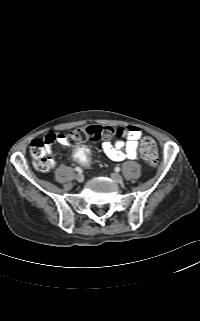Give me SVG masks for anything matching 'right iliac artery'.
Here are the masks:
<instances>
[{
  "label": "right iliac artery",
  "mask_w": 200,
  "mask_h": 321,
  "mask_svg": "<svg viewBox=\"0 0 200 321\" xmlns=\"http://www.w3.org/2000/svg\"><path fill=\"white\" fill-rule=\"evenodd\" d=\"M75 171H77V172H81V171H82V169H81L80 167H76V168H75Z\"/></svg>",
  "instance_id": "82829eb1"
}]
</instances>
